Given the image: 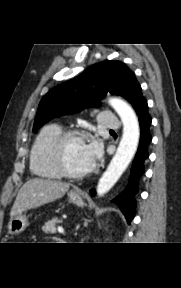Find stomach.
I'll use <instances>...</instances> for the list:
<instances>
[{
	"instance_id": "stomach-1",
	"label": "stomach",
	"mask_w": 181,
	"mask_h": 288,
	"mask_svg": "<svg viewBox=\"0 0 181 288\" xmlns=\"http://www.w3.org/2000/svg\"><path fill=\"white\" fill-rule=\"evenodd\" d=\"M68 197L70 202L73 204L81 207L84 205V201L82 196L77 193L76 191H70L68 193ZM28 226V221L26 215L23 213H19L12 217L7 225L8 233L9 234H19L26 229Z\"/></svg>"
}]
</instances>
